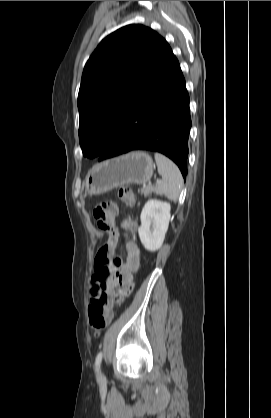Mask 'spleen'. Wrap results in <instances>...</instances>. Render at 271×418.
I'll use <instances>...</instances> for the list:
<instances>
[{"mask_svg": "<svg viewBox=\"0 0 271 418\" xmlns=\"http://www.w3.org/2000/svg\"><path fill=\"white\" fill-rule=\"evenodd\" d=\"M155 161L158 173L162 176V182L158 186L159 193L171 201H176L183 186V177L179 168L169 158L159 153H155Z\"/></svg>", "mask_w": 271, "mask_h": 418, "instance_id": "1", "label": "spleen"}]
</instances>
